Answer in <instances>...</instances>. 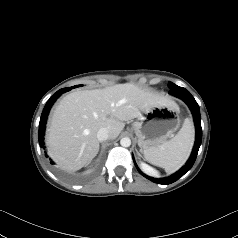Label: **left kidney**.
Returning <instances> with one entry per match:
<instances>
[{"mask_svg": "<svg viewBox=\"0 0 238 238\" xmlns=\"http://www.w3.org/2000/svg\"><path fill=\"white\" fill-rule=\"evenodd\" d=\"M141 166H142L143 170L146 171L147 173H150V174L156 173L154 169H152L150 166H148L145 163H141Z\"/></svg>", "mask_w": 238, "mask_h": 238, "instance_id": "1", "label": "left kidney"}]
</instances>
